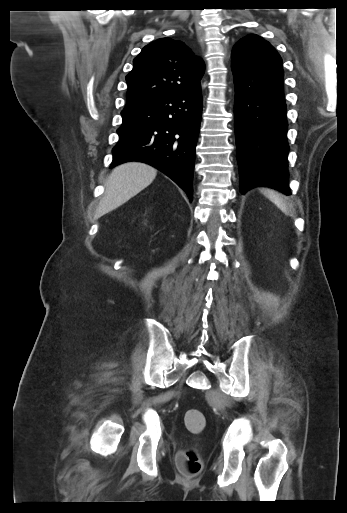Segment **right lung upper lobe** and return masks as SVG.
<instances>
[{"instance_id":"obj_1","label":"right lung upper lobe","mask_w":347,"mask_h":513,"mask_svg":"<svg viewBox=\"0 0 347 513\" xmlns=\"http://www.w3.org/2000/svg\"><path fill=\"white\" fill-rule=\"evenodd\" d=\"M127 75L125 109L185 92L201 90L204 62L187 46L171 38H161L145 46L133 60Z\"/></svg>"}]
</instances>
